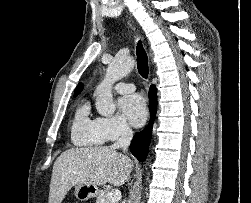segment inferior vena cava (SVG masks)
<instances>
[{
    "label": "inferior vena cava",
    "instance_id": "1",
    "mask_svg": "<svg viewBox=\"0 0 251 203\" xmlns=\"http://www.w3.org/2000/svg\"><path fill=\"white\" fill-rule=\"evenodd\" d=\"M132 137H133L132 129L126 123H123L120 127V138L117 140V142H115L112 145V148L114 149L121 148L124 151H126L132 140Z\"/></svg>",
    "mask_w": 251,
    "mask_h": 203
}]
</instances>
